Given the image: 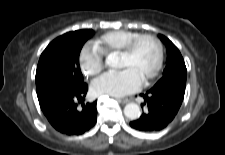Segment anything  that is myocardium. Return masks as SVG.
<instances>
[{"mask_svg":"<svg viewBox=\"0 0 225 155\" xmlns=\"http://www.w3.org/2000/svg\"><path fill=\"white\" fill-rule=\"evenodd\" d=\"M143 39H150L151 41H153L157 50L155 66L153 70L150 72V74H148L146 78L143 80L144 83H148L149 81H151L158 75L163 63V45L160 39L156 37L155 35L149 34V33L139 34L136 37L132 38L125 45V47L119 52V54L124 56L131 55L134 52L138 43Z\"/></svg>","mask_w":225,"mask_h":155,"instance_id":"f54148a6","label":"myocardium"}]
</instances>
